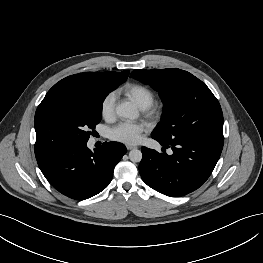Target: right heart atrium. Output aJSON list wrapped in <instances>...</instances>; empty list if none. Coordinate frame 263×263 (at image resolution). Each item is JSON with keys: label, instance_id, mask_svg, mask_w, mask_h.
<instances>
[{"label": "right heart atrium", "instance_id": "obj_1", "mask_svg": "<svg viewBox=\"0 0 263 263\" xmlns=\"http://www.w3.org/2000/svg\"><path fill=\"white\" fill-rule=\"evenodd\" d=\"M100 114L103 119L110 121L115 114V95L113 93L106 94L100 102Z\"/></svg>", "mask_w": 263, "mask_h": 263}]
</instances>
